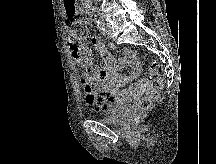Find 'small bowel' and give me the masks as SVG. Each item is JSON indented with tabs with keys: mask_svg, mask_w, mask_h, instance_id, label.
<instances>
[{
	"mask_svg": "<svg viewBox=\"0 0 216 164\" xmlns=\"http://www.w3.org/2000/svg\"><path fill=\"white\" fill-rule=\"evenodd\" d=\"M76 24L82 25L83 21L77 20ZM92 46L104 61L103 67L94 68L92 66V47L85 42L83 35L71 32L69 50L72 58L84 70L80 81L84 88L86 102L97 111L113 114L118 107L114 97L123 85L138 77L139 62L132 49L128 48L124 51V56L118 64L101 40L93 38ZM122 67L130 68L129 74L121 76L119 71Z\"/></svg>",
	"mask_w": 216,
	"mask_h": 164,
	"instance_id": "1",
	"label": "small bowel"
}]
</instances>
